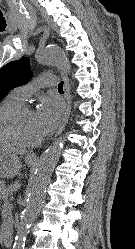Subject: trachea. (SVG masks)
<instances>
[{"label":"trachea","mask_w":135,"mask_h":249,"mask_svg":"<svg viewBox=\"0 0 135 249\" xmlns=\"http://www.w3.org/2000/svg\"><path fill=\"white\" fill-rule=\"evenodd\" d=\"M58 90L63 91V82H60L58 85Z\"/></svg>","instance_id":"3493384b"}]
</instances>
